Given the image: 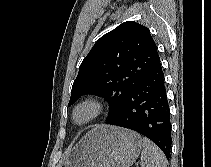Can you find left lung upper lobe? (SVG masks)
I'll return each instance as SVG.
<instances>
[{
    "mask_svg": "<svg viewBox=\"0 0 211 167\" xmlns=\"http://www.w3.org/2000/svg\"><path fill=\"white\" fill-rule=\"evenodd\" d=\"M158 58L147 27L134 21L122 23L103 35L82 61L68 106L85 94L101 96L109 103L107 120L114 118Z\"/></svg>",
    "mask_w": 211,
    "mask_h": 167,
    "instance_id": "obj_1",
    "label": "left lung upper lobe"
}]
</instances>
